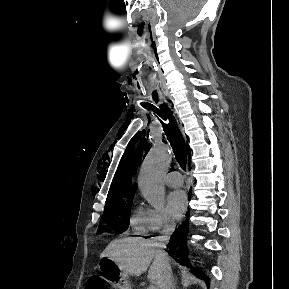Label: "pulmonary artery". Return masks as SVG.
I'll return each mask as SVG.
<instances>
[{
    "label": "pulmonary artery",
    "mask_w": 289,
    "mask_h": 289,
    "mask_svg": "<svg viewBox=\"0 0 289 289\" xmlns=\"http://www.w3.org/2000/svg\"><path fill=\"white\" fill-rule=\"evenodd\" d=\"M165 183L170 187H180L183 183L181 174L178 171H171L164 178Z\"/></svg>",
    "instance_id": "e3ab8cb5"
}]
</instances>
